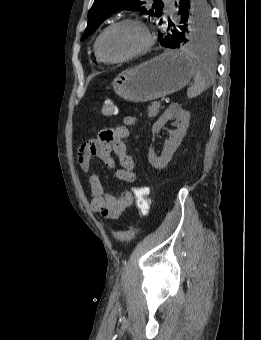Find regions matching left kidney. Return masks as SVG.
<instances>
[{
    "label": "left kidney",
    "mask_w": 261,
    "mask_h": 340,
    "mask_svg": "<svg viewBox=\"0 0 261 340\" xmlns=\"http://www.w3.org/2000/svg\"><path fill=\"white\" fill-rule=\"evenodd\" d=\"M176 118L180 121L177 124V130L169 131L170 138L165 141V146L161 157H157L153 148L149 149L148 159L152 167L155 169H163L172 159L174 152L181 144L189 126L190 113L181 108L178 103H172L164 112V114L154 123L152 133H158L159 130L168 122L169 119Z\"/></svg>",
    "instance_id": "left-kidney-1"
}]
</instances>
